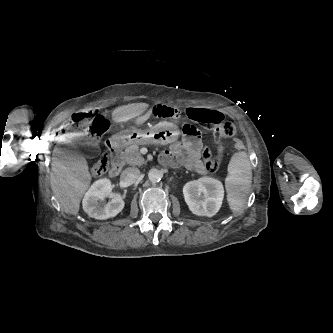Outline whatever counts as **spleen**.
<instances>
[{
  "instance_id": "obj_1",
  "label": "spleen",
  "mask_w": 333,
  "mask_h": 333,
  "mask_svg": "<svg viewBox=\"0 0 333 333\" xmlns=\"http://www.w3.org/2000/svg\"><path fill=\"white\" fill-rule=\"evenodd\" d=\"M252 168L248 154L244 151L235 153L228 165L225 179L227 200L233 212L240 211L250 194Z\"/></svg>"
}]
</instances>
